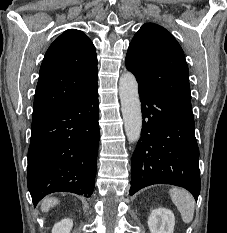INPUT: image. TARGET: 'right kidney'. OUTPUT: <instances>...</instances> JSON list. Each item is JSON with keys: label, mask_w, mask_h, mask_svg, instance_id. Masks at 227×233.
<instances>
[{"label": "right kidney", "mask_w": 227, "mask_h": 233, "mask_svg": "<svg viewBox=\"0 0 227 233\" xmlns=\"http://www.w3.org/2000/svg\"><path fill=\"white\" fill-rule=\"evenodd\" d=\"M72 227L73 221L69 218H65L53 226L52 233H70Z\"/></svg>", "instance_id": "1"}]
</instances>
